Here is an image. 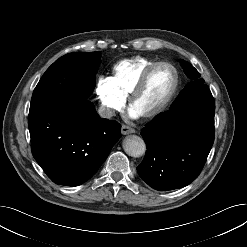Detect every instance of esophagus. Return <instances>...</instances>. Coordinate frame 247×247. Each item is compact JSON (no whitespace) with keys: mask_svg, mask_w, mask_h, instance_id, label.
Instances as JSON below:
<instances>
[{"mask_svg":"<svg viewBox=\"0 0 247 247\" xmlns=\"http://www.w3.org/2000/svg\"><path fill=\"white\" fill-rule=\"evenodd\" d=\"M135 130L127 125H122L121 127V133L123 135H127V134H131V133H134Z\"/></svg>","mask_w":247,"mask_h":247,"instance_id":"esophagus-1","label":"esophagus"}]
</instances>
